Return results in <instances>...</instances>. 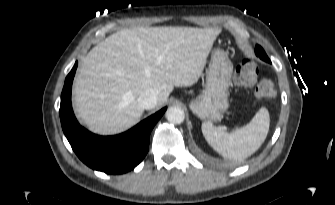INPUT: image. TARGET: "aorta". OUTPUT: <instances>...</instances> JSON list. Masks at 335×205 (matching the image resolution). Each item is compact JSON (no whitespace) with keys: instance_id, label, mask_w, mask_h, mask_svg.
<instances>
[{"instance_id":"obj_1","label":"aorta","mask_w":335,"mask_h":205,"mask_svg":"<svg viewBox=\"0 0 335 205\" xmlns=\"http://www.w3.org/2000/svg\"><path fill=\"white\" fill-rule=\"evenodd\" d=\"M166 119L173 124H180L185 119L183 109L177 106H171L166 111Z\"/></svg>"}]
</instances>
